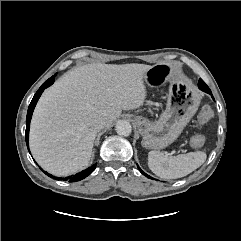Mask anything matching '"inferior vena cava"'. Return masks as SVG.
Instances as JSON below:
<instances>
[{
  "label": "inferior vena cava",
  "instance_id": "inferior-vena-cava-1",
  "mask_svg": "<svg viewBox=\"0 0 241 241\" xmlns=\"http://www.w3.org/2000/svg\"><path fill=\"white\" fill-rule=\"evenodd\" d=\"M106 119L105 118H98L93 122V127L95 130L99 131L106 126Z\"/></svg>",
  "mask_w": 241,
  "mask_h": 241
}]
</instances>
